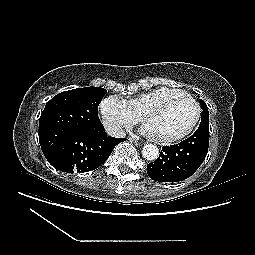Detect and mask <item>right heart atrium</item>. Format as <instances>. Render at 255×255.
Returning a JSON list of instances; mask_svg holds the SVG:
<instances>
[{"label": "right heart atrium", "mask_w": 255, "mask_h": 255, "mask_svg": "<svg viewBox=\"0 0 255 255\" xmlns=\"http://www.w3.org/2000/svg\"><path fill=\"white\" fill-rule=\"evenodd\" d=\"M100 114L105 128L114 134H121L125 128L140 121V116L126 100L115 95L107 96L101 101Z\"/></svg>", "instance_id": "1"}]
</instances>
